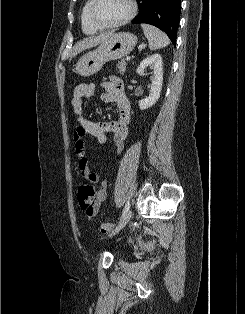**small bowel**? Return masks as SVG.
<instances>
[{
	"instance_id": "1",
	"label": "small bowel",
	"mask_w": 245,
	"mask_h": 314,
	"mask_svg": "<svg viewBox=\"0 0 245 314\" xmlns=\"http://www.w3.org/2000/svg\"><path fill=\"white\" fill-rule=\"evenodd\" d=\"M103 92L100 96L104 103L116 102L119 107L120 117L116 121L94 122L83 116V102L93 96L96 89L95 82H86L77 85L73 90L72 106L78 118L73 139L75 142V152L79 156L78 169L80 175L90 183L99 187L94 202V210L87 214L90 219H94L102 203L105 202L108 180L101 178L99 174L91 171L89 160L86 157L85 138L92 136L99 143H105L107 135H110L116 153L119 155L124 147V142L128 136V124L130 121V104L123 91L122 83L116 78L101 83Z\"/></svg>"
}]
</instances>
